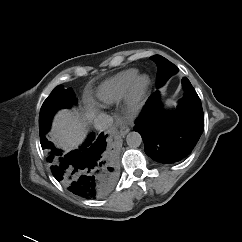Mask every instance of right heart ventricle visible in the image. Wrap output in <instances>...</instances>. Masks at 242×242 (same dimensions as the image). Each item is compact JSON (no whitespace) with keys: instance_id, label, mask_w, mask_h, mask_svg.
Wrapping results in <instances>:
<instances>
[{"instance_id":"obj_1","label":"right heart ventricle","mask_w":242,"mask_h":242,"mask_svg":"<svg viewBox=\"0 0 242 242\" xmlns=\"http://www.w3.org/2000/svg\"><path fill=\"white\" fill-rule=\"evenodd\" d=\"M137 75L136 69H128L102 82L96 92L99 101L105 105H111L122 100Z\"/></svg>"}]
</instances>
